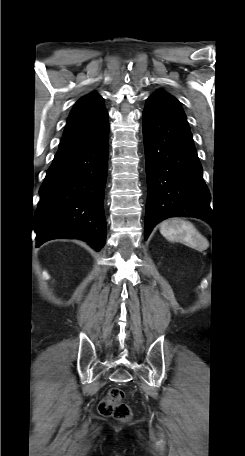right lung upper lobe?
Segmentation results:
<instances>
[{"mask_svg": "<svg viewBox=\"0 0 245 456\" xmlns=\"http://www.w3.org/2000/svg\"><path fill=\"white\" fill-rule=\"evenodd\" d=\"M103 98L96 92L80 98L72 109L57 153L69 152L93 143L108 123Z\"/></svg>", "mask_w": 245, "mask_h": 456, "instance_id": "obj_1", "label": "right lung upper lobe"}]
</instances>
